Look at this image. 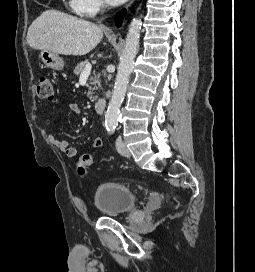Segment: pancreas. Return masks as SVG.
<instances>
[{
  "label": "pancreas",
  "mask_w": 255,
  "mask_h": 272,
  "mask_svg": "<svg viewBox=\"0 0 255 272\" xmlns=\"http://www.w3.org/2000/svg\"><path fill=\"white\" fill-rule=\"evenodd\" d=\"M89 64L88 60H85L83 62H80L76 65L74 68V74L79 76L81 75L82 71L84 70L85 66ZM101 87V80H100V74H96L90 78V86L87 93V96L91 101H96L98 96L95 95L96 91L100 92Z\"/></svg>",
  "instance_id": "obj_1"
}]
</instances>
